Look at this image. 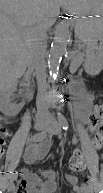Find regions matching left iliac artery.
<instances>
[{
  "instance_id": "obj_1",
  "label": "left iliac artery",
  "mask_w": 103,
  "mask_h": 193,
  "mask_svg": "<svg viewBox=\"0 0 103 193\" xmlns=\"http://www.w3.org/2000/svg\"><path fill=\"white\" fill-rule=\"evenodd\" d=\"M58 118H59V122H60L62 128H63L65 131H67L68 128H69V124H68L66 118H65L62 114H59V115H58ZM88 184H89V186H93V185H94V179H93L92 177H89V179H88Z\"/></svg>"
}]
</instances>
